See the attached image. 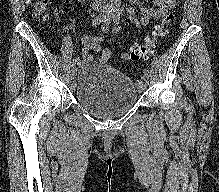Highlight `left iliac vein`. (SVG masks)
I'll list each match as a JSON object with an SVG mask.
<instances>
[{"mask_svg":"<svg viewBox=\"0 0 219 192\" xmlns=\"http://www.w3.org/2000/svg\"><path fill=\"white\" fill-rule=\"evenodd\" d=\"M109 20H110V17L108 16V17H106V19L104 20V22H105V23H108ZM142 79H143V81L140 82V83L138 84V87H137L139 92H143V91L146 89V87H147V85H148V83H149V75L144 74L143 77H142Z\"/></svg>","mask_w":219,"mask_h":192,"instance_id":"left-iliac-vein-1","label":"left iliac vein"}]
</instances>
